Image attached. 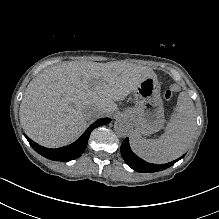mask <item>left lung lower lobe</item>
<instances>
[{"label":"left lung lower lobe","mask_w":219,"mask_h":219,"mask_svg":"<svg viewBox=\"0 0 219 219\" xmlns=\"http://www.w3.org/2000/svg\"><path fill=\"white\" fill-rule=\"evenodd\" d=\"M121 155L125 162L135 171L140 173H148V172H157L162 171L168 167H171L175 162L184 157L181 156L177 160L169 162L167 164L156 165L152 163H148L142 159H140L137 155H135L130 149L128 138H126L121 145Z\"/></svg>","instance_id":"1"}]
</instances>
